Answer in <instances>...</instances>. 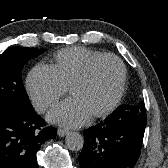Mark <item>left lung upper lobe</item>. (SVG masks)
I'll use <instances>...</instances> for the list:
<instances>
[{
  "label": "left lung upper lobe",
  "instance_id": "5c2ea615",
  "mask_svg": "<svg viewBox=\"0 0 168 168\" xmlns=\"http://www.w3.org/2000/svg\"><path fill=\"white\" fill-rule=\"evenodd\" d=\"M141 103L144 104V102H138V101H135V102H132V103L127 104V105H134V106H136V105H139V104H141Z\"/></svg>",
  "mask_w": 168,
  "mask_h": 168
}]
</instances>
